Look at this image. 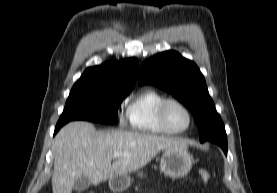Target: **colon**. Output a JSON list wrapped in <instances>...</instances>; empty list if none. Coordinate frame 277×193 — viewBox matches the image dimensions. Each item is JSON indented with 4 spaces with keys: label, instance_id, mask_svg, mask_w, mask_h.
<instances>
[{
    "label": "colon",
    "instance_id": "colon-1",
    "mask_svg": "<svg viewBox=\"0 0 277 193\" xmlns=\"http://www.w3.org/2000/svg\"><path fill=\"white\" fill-rule=\"evenodd\" d=\"M200 178L202 179L203 182L207 183L210 181V173L206 169H201L199 171Z\"/></svg>",
    "mask_w": 277,
    "mask_h": 193
}]
</instances>
